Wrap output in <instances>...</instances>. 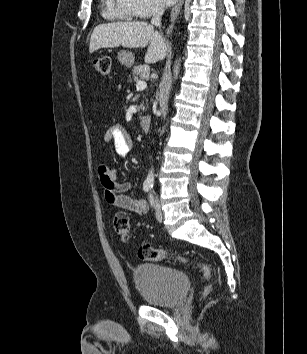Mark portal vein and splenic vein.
I'll return each instance as SVG.
<instances>
[{
  "label": "portal vein and splenic vein",
  "instance_id": "obj_1",
  "mask_svg": "<svg viewBox=\"0 0 307 354\" xmlns=\"http://www.w3.org/2000/svg\"><path fill=\"white\" fill-rule=\"evenodd\" d=\"M147 88V83L145 82V81H137V83H136V89L138 90V91H142V90H144V89H146Z\"/></svg>",
  "mask_w": 307,
  "mask_h": 354
}]
</instances>
